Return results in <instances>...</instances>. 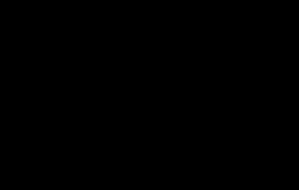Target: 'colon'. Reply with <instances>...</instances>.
<instances>
[{
	"label": "colon",
	"mask_w": 299,
	"mask_h": 190,
	"mask_svg": "<svg viewBox=\"0 0 299 190\" xmlns=\"http://www.w3.org/2000/svg\"><path fill=\"white\" fill-rule=\"evenodd\" d=\"M129 7H120L115 9H106L101 13L83 22L76 29V38L81 42L92 41L95 38L108 33L112 28L116 27L124 19L125 11ZM208 28V26H204ZM195 31H191L189 35H194ZM105 75L101 71H95L89 78L90 86L93 90H97L103 85Z\"/></svg>",
	"instance_id": "obj_1"
}]
</instances>
